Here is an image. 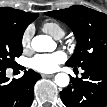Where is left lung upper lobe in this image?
<instances>
[{
  "mask_svg": "<svg viewBox=\"0 0 107 107\" xmlns=\"http://www.w3.org/2000/svg\"><path fill=\"white\" fill-rule=\"evenodd\" d=\"M66 23L74 32L77 46L67 66L83 67L107 62V15L93 9L74 5L58 11L46 12Z\"/></svg>",
  "mask_w": 107,
  "mask_h": 107,
  "instance_id": "left-lung-upper-lobe-1",
  "label": "left lung upper lobe"
}]
</instances>
